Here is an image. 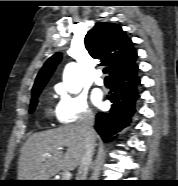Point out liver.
Segmentation results:
<instances>
[{
    "instance_id": "6515ba94",
    "label": "liver",
    "mask_w": 178,
    "mask_h": 186,
    "mask_svg": "<svg viewBox=\"0 0 178 186\" xmlns=\"http://www.w3.org/2000/svg\"><path fill=\"white\" fill-rule=\"evenodd\" d=\"M67 148L66 153L63 149ZM85 151L79 123L34 133L23 145L18 163V180H49L60 170H74ZM50 153V157L43 159Z\"/></svg>"
}]
</instances>
